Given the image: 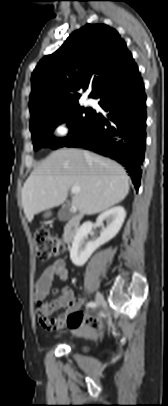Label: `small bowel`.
<instances>
[{
  "mask_svg": "<svg viewBox=\"0 0 168 406\" xmlns=\"http://www.w3.org/2000/svg\"><path fill=\"white\" fill-rule=\"evenodd\" d=\"M58 276L61 280L65 281L69 277L68 270L63 259H58L48 266L37 279L35 284V298L37 303H41L47 297L53 279ZM83 303L82 298H75L72 290L69 287H64L62 289V295L51 304V310L53 311L59 307H65L67 309L66 313L58 315L51 321H47L44 318L41 319L42 326L49 331H57L64 328L67 324V318L70 314L80 307ZM73 330H80L85 333H91L92 329L86 326L84 323L77 324L74 326L68 325Z\"/></svg>",
  "mask_w": 168,
  "mask_h": 406,
  "instance_id": "obj_1",
  "label": "small bowel"
}]
</instances>
